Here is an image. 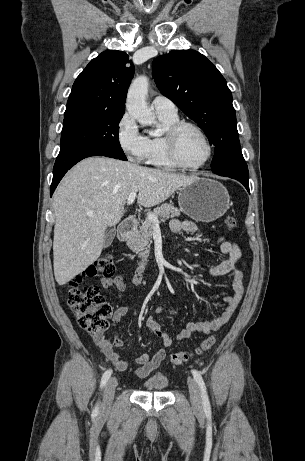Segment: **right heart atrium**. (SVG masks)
<instances>
[{
	"instance_id": "right-heart-atrium-1",
	"label": "right heart atrium",
	"mask_w": 305,
	"mask_h": 461,
	"mask_svg": "<svg viewBox=\"0 0 305 461\" xmlns=\"http://www.w3.org/2000/svg\"><path fill=\"white\" fill-rule=\"evenodd\" d=\"M117 141L122 151L132 161L142 160L145 147V137L130 113H124L117 124Z\"/></svg>"
}]
</instances>
